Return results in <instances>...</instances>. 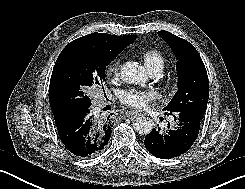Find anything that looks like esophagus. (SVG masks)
<instances>
[{"mask_svg":"<svg viewBox=\"0 0 245 189\" xmlns=\"http://www.w3.org/2000/svg\"><path fill=\"white\" fill-rule=\"evenodd\" d=\"M139 115V113L137 111H128L126 113V116L130 119H134Z\"/></svg>","mask_w":245,"mask_h":189,"instance_id":"esophagus-1","label":"esophagus"}]
</instances>
